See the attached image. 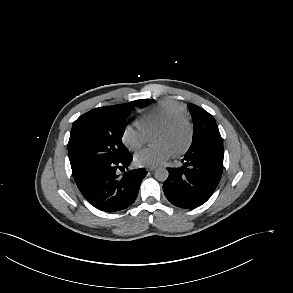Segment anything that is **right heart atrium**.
Returning <instances> with one entry per match:
<instances>
[{"instance_id":"obj_1","label":"right heart atrium","mask_w":293,"mask_h":293,"mask_svg":"<svg viewBox=\"0 0 293 293\" xmlns=\"http://www.w3.org/2000/svg\"><path fill=\"white\" fill-rule=\"evenodd\" d=\"M121 141L127 149L136 151L144 144L145 134L139 126L127 125L122 131Z\"/></svg>"}]
</instances>
